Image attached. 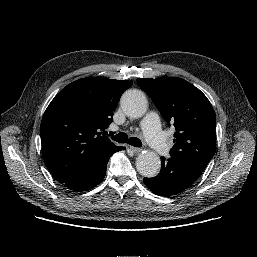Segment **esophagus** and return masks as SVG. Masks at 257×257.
<instances>
[{
    "instance_id": "34e87169",
    "label": "esophagus",
    "mask_w": 257,
    "mask_h": 257,
    "mask_svg": "<svg viewBox=\"0 0 257 257\" xmlns=\"http://www.w3.org/2000/svg\"><path fill=\"white\" fill-rule=\"evenodd\" d=\"M130 149H131L135 154H138V153H140V152L142 151L141 148H137V147H133V146H131Z\"/></svg>"
}]
</instances>
